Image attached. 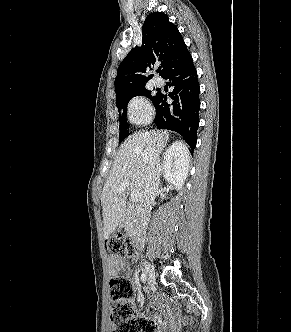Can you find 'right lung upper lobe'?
<instances>
[{"label": "right lung upper lobe", "mask_w": 291, "mask_h": 332, "mask_svg": "<svg viewBox=\"0 0 291 332\" xmlns=\"http://www.w3.org/2000/svg\"><path fill=\"white\" fill-rule=\"evenodd\" d=\"M142 34V46L133 48L118 67L116 100L145 87L152 76L146 77L145 73L156 62H161L163 70L160 75L164 77L169 70L191 57L177 27L162 12H153L146 18Z\"/></svg>", "instance_id": "right-lung-upper-lobe-1"}]
</instances>
